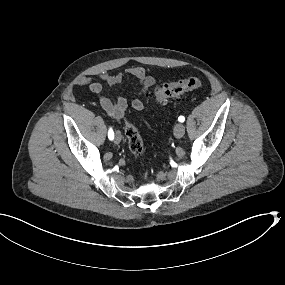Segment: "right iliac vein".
<instances>
[{"mask_svg": "<svg viewBox=\"0 0 285 285\" xmlns=\"http://www.w3.org/2000/svg\"><path fill=\"white\" fill-rule=\"evenodd\" d=\"M121 142V135L119 132H116V135H115V143H120Z\"/></svg>", "mask_w": 285, "mask_h": 285, "instance_id": "obj_1", "label": "right iliac vein"}]
</instances>
